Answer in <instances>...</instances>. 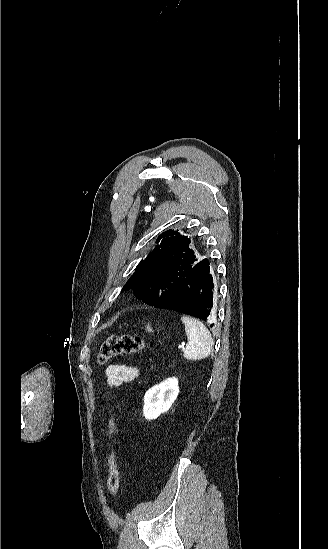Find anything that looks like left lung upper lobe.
<instances>
[{
  "label": "left lung upper lobe",
  "instance_id": "5c2ea615",
  "mask_svg": "<svg viewBox=\"0 0 328 549\" xmlns=\"http://www.w3.org/2000/svg\"><path fill=\"white\" fill-rule=\"evenodd\" d=\"M158 243L122 291L133 289L145 303L154 305L171 296L179 280L197 263V254L190 248L191 241L178 231L167 230L158 236Z\"/></svg>",
  "mask_w": 328,
  "mask_h": 549
}]
</instances>
